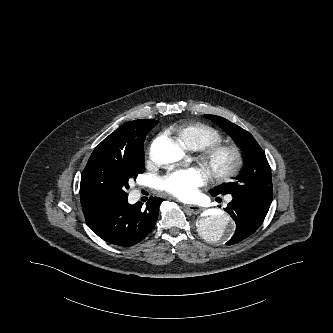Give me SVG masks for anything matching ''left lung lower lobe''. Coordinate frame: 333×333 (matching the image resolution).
I'll return each mask as SVG.
<instances>
[{
	"label": "left lung lower lobe",
	"mask_w": 333,
	"mask_h": 333,
	"mask_svg": "<svg viewBox=\"0 0 333 333\" xmlns=\"http://www.w3.org/2000/svg\"><path fill=\"white\" fill-rule=\"evenodd\" d=\"M270 205L269 201L233 197L224 210L234 219L236 230L226 245L236 244L253 234L264 221Z\"/></svg>",
	"instance_id": "0a47b994"
}]
</instances>
